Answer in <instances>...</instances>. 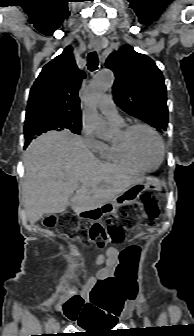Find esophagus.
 <instances>
[{
    "label": "esophagus",
    "instance_id": "1",
    "mask_svg": "<svg viewBox=\"0 0 194 336\" xmlns=\"http://www.w3.org/2000/svg\"><path fill=\"white\" fill-rule=\"evenodd\" d=\"M94 44H95V49L97 51H100L103 45V41L102 39H96Z\"/></svg>",
    "mask_w": 194,
    "mask_h": 336
}]
</instances>
